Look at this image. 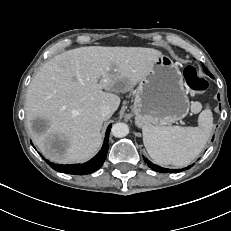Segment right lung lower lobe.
<instances>
[{
	"label": "right lung lower lobe",
	"instance_id": "98d812e1",
	"mask_svg": "<svg viewBox=\"0 0 231 231\" xmlns=\"http://www.w3.org/2000/svg\"><path fill=\"white\" fill-rule=\"evenodd\" d=\"M111 129V125L108 126L105 134L104 144L99 151V153L92 158L90 161L84 163V164H71V165H59L50 163L48 161V164L56 171L67 173V174H76V175H85L92 173L96 170H98L104 163L107 152H108V138H109V132Z\"/></svg>",
	"mask_w": 231,
	"mask_h": 231
}]
</instances>
